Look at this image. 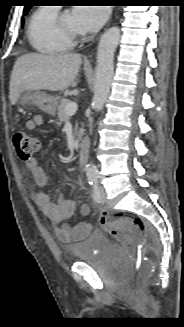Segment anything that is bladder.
<instances>
[{"label": "bladder", "mask_w": 184, "mask_h": 327, "mask_svg": "<svg viewBox=\"0 0 184 327\" xmlns=\"http://www.w3.org/2000/svg\"><path fill=\"white\" fill-rule=\"evenodd\" d=\"M67 250L76 262L92 263L103 254H110L121 266H127L122 253L113 246L108 236L99 231L89 232L83 241L68 245Z\"/></svg>", "instance_id": "bladder-1"}]
</instances>
